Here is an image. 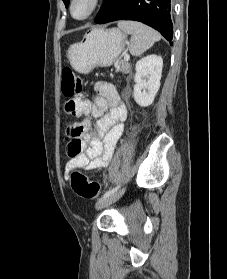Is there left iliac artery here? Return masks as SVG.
Instances as JSON below:
<instances>
[{
  "label": "left iliac artery",
  "mask_w": 227,
  "mask_h": 279,
  "mask_svg": "<svg viewBox=\"0 0 227 279\" xmlns=\"http://www.w3.org/2000/svg\"><path fill=\"white\" fill-rule=\"evenodd\" d=\"M119 188H120V185H118L117 187H115V188H113V189L108 190V191L104 194L103 198H104V197H108V196L114 194Z\"/></svg>",
  "instance_id": "44dca946"
}]
</instances>
